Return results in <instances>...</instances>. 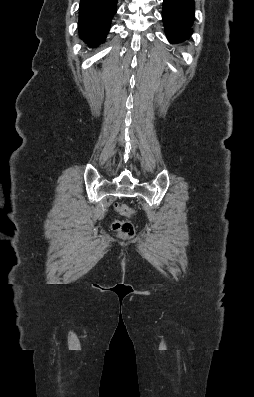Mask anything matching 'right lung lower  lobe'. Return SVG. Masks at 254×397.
Here are the masks:
<instances>
[{
	"mask_svg": "<svg viewBox=\"0 0 254 397\" xmlns=\"http://www.w3.org/2000/svg\"><path fill=\"white\" fill-rule=\"evenodd\" d=\"M117 0H80L79 34L91 47L105 41Z\"/></svg>",
	"mask_w": 254,
	"mask_h": 397,
	"instance_id": "right-lung-lower-lobe-1",
	"label": "right lung lower lobe"
}]
</instances>
